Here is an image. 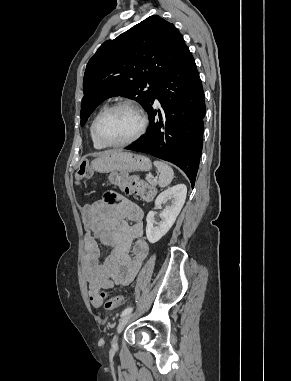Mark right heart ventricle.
I'll list each match as a JSON object with an SVG mask.
<instances>
[{"label":"right heart ventricle","mask_w":291,"mask_h":381,"mask_svg":"<svg viewBox=\"0 0 291 381\" xmlns=\"http://www.w3.org/2000/svg\"><path fill=\"white\" fill-rule=\"evenodd\" d=\"M108 108L107 105H102L98 111L95 113L91 123H90V127H89V132H90V138H91V141H92V144H93V147L96 148V149H104L106 148L105 145H103L95 136V132H94V123L97 119V117L106 109Z\"/></svg>","instance_id":"right-heart-ventricle-1"}]
</instances>
